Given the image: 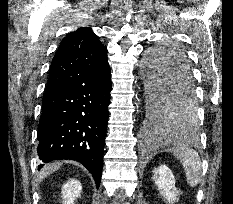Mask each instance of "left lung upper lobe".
<instances>
[{
  "label": "left lung upper lobe",
  "mask_w": 233,
  "mask_h": 204,
  "mask_svg": "<svg viewBox=\"0 0 233 204\" xmlns=\"http://www.w3.org/2000/svg\"><path fill=\"white\" fill-rule=\"evenodd\" d=\"M181 59L188 63L184 50L172 41H164L152 47L145 56L143 70L147 86L148 120L162 115L160 127L163 130L194 132L198 126L195 91L182 93L174 100L160 102L162 85L172 75L175 62Z\"/></svg>",
  "instance_id": "5c2ea615"
}]
</instances>
